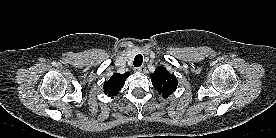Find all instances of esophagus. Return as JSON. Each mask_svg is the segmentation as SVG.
Here are the masks:
<instances>
[{
	"mask_svg": "<svg viewBox=\"0 0 276 138\" xmlns=\"http://www.w3.org/2000/svg\"><path fill=\"white\" fill-rule=\"evenodd\" d=\"M137 70H138L139 72H144V71L146 70V68H145L144 65H142V66L138 67Z\"/></svg>",
	"mask_w": 276,
	"mask_h": 138,
	"instance_id": "obj_1",
	"label": "esophagus"
}]
</instances>
